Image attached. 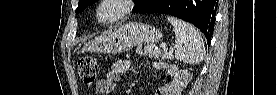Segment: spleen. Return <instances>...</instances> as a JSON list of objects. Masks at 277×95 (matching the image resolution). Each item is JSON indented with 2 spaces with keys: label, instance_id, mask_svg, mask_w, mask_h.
<instances>
[{
  "label": "spleen",
  "instance_id": "3e777b00",
  "mask_svg": "<svg viewBox=\"0 0 277 95\" xmlns=\"http://www.w3.org/2000/svg\"><path fill=\"white\" fill-rule=\"evenodd\" d=\"M175 31V57L187 64L201 62L205 55L204 42L199 31L191 24L168 16Z\"/></svg>",
  "mask_w": 277,
  "mask_h": 95
}]
</instances>
